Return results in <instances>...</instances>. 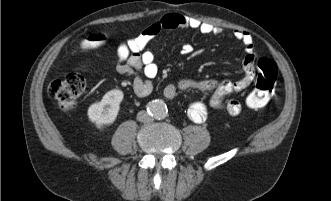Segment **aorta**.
Instances as JSON below:
<instances>
[{
	"label": "aorta",
	"instance_id": "aorta-1",
	"mask_svg": "<svg viewBox=\"0 0 331 201\" xmlns=\"http://www.w3.org/2000/svg\"><path fill=\"white\" fill-rule=\"evenodd\" d=\"M150 112L157 119L164 118L167 114V106L162 100H154L150 104Z\"/></svg>",
	"mask_w": 331,
	"mask_h": 201
}]
</instances>
